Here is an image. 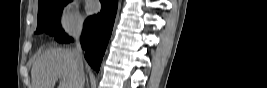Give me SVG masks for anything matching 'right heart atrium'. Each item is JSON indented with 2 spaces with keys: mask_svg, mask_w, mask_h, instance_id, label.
I'll return each instance as SVG.
<instances>
[{
  "mask_svg": "<svg viewBox=\"0 0 267 88\" xmlns=\"http://www.w3.org/2000/svg\"><path fill=\"white\" fill-rule=\"evenodd\" d=\"M62 29L70 34L76 35L80 33L83 27V20L75 6L67 7L59 18Z\"/></svg>",
  "mask_w": 267,
  "mask_h": 88,
  "instance_id": "obj_1",
  "label": "right heart atrium"
}]
</instances>
